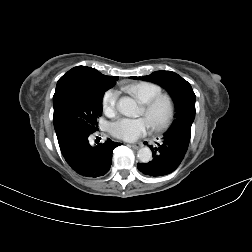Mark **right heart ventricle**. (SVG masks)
<instances>
[{
    "label": "right heart ventricle",
    "mask_w": 252,
    "mask_h": 252,
    "mask_svg": "<svg viewBox=\"0 0 252 252\" xmlns=\"http://www.w3.org/2000/svg\"><path fill=\"white\" fill-rule=\"evenodd\" d=\"M124 90L143 104L162 93L159 85L150 82L134 83L124 87Z\"/></svg>",
    "instance_id": "obj_1"
}]
</instances>
